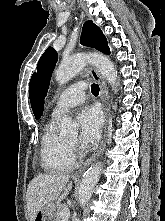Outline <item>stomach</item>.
<instances>
[{"mask_svg": "<svg viewBox=\"0 0 165 221\" xmlns=\"http://www.w3.org/2000/svg\"><path fill=\"white\" fill-rule=\"evenodd\" d=\"M55 205L50 204L42 208L35 216L34 221H56Z\"/></svg>", "mask_w": 165, "mask_h": 221, "instance_id": "0dacf381", "label": "stomach"}]
</instances>
